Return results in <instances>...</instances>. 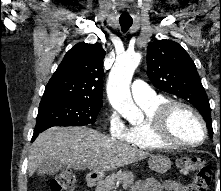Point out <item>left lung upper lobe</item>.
Masks as SVG:
<instances>
[{
  "label": "left lung upper lobe",
  "mask_w": 221,
  "mask_h": 191,
  "mask_svg": "<svg viewBox=\"0 0 221 191\" xmlns=\"http://www.w3.org/2000/svg\"><path fill=\"white\" fill-rule=\"evenodd\" d=\"M147 75L152 84L190 102L204 117L213 135L209 99L196 66L187 52L171 40H157L147 47Z\"/></svg>",
  "instance_id": "5c2ea615"
}]
</instances>
